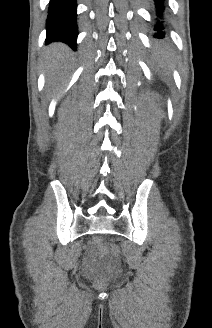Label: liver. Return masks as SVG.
I'll return each mask as SVG.
<instances>
[{"label":"liver","mask_w":212,"mask_h":328,"mask_svg":"<svg viewBox=\"0 0 212 328\" xmlns=\"http://www.w3.org/2000/svg\"><path fill=\"white\" fill-rule=\"evenodd\" d=\"M69 59V49L62 44H54L48 50L47 76L55 81L64 74Z\"/></svg>","instance_id":"1"}]
</instances>
